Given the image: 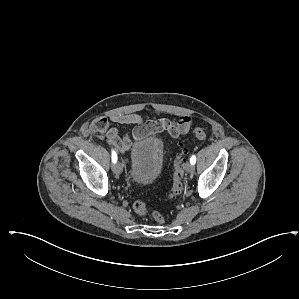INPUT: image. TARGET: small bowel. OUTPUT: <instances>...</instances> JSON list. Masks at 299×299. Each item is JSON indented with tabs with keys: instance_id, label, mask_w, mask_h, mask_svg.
Returning <instances> with one entry per match:
<instances>
[{
	"instance_id": "1",
	"label": "small bowel",
	"mask_w": 299,
	"mask_h": 299,
	"mask_svg": "<svg viewBox=\"0 0 299 299\" xmlns=\"http://www.w3.org/2000/svg\"><path fill=\"white\" fill-rule=\"evenodd\" d=\"M110 120L118 124L135 125L132 134L120 136L118 129L111 127L107 131V139L120 153L125 154L131 147L132 140H141L147 136L158 137L166 132L172 138H179L187 134L195 123L190 115H183L175 119L162 118L157 121L143 123L138 114H113Z\"/></svg>"
}]
</instances>
